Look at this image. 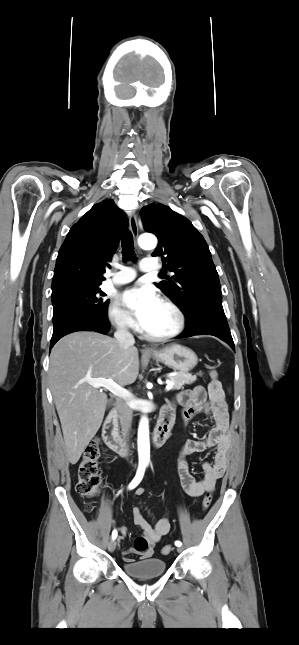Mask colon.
<instances>
[{
	"instance_id": "1",
	"label": "colon",
	"mask_w": 299,
	"mask_h": 645,
	"mask_svg": "<svg viewBox=\"0 0 299 645\" xmlns=\"http://www.w3.org/2000/svg\"><path fill=\"white\" fill-rule=\"evenodd\" d=\"M211 382L209 388L218 391L221 389V383L218 379V373L215 369L211 368L209 371ZM100 455V447L98 440L90 441L84 449L81 461L78 467V479L76 483V491L83 497L93 498L100 490L101 476L98 470L97 460ZM212 502V495L207 493L203 499L202 506L206 510ZM134 548L137 552H143L147 549V541L144 537H137L134 541ZM172 551L170 545H165L162 548V554L167 555Z\"/></svg>"
}]
</instances>
